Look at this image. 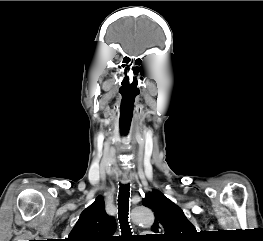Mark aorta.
I'll list each match as a JSON object with an SVG mask.
<instances>
[{
  "label": "aorta",
  "instance_id": "762f6f07",
  "mask_svg": "<svg viewBox=\"0 0 263 241\" xmlns=\"http://www.w3.org/2000/svg\"><path fill=\"white\" fill-rule=\"evenodd\" d=\"M132 220L136 224L152 225L154 215L151 209L144 206L135 207L131 213Z\"/></svg>",
  "mask_w": 263,
  "mask_h": 241
}]
</instances>
